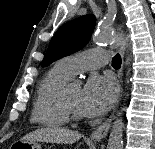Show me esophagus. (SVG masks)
Instances as JSON below:
<instances>
[{"label":"esophagus","instance_id":"esophagus-1","mask_svg":"<svg viewBox=\"0 0 155 149\" xmlns=\"http://www.w3.org/2000/svg\"><path fill=\"white\" fill-rule=\"evenodd\" d=\"M125 45H126L125 36L122 33L121 40H120V48H119L121 56H122V66L120 70V75H121L120 81L121 82H122V70H123V65H124ZM119 91H121V85L119 87ZM113 117H114V114L107 121H105L102 125H100L95 131L92 132V134L90 135V139L92 141L99 142L106 137L111 127Z\"/></svg>","mask_w":155,"mask_h":149}]
</instances>
